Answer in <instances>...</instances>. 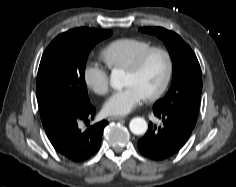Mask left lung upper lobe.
Instances as JSON below:
<instances>
[{"label":"left lung upper lobe","mask_w":236,"mask_h":187,"mask_svg":"<svg viewBox=\"0 0 236 187\" xmlns=\"http://www.w3.org/2000/svg\"><path fill=\"white\" fill-rule=\"evenodd\" d=\"M140 31L154 34L166 45L173 63L172 85L153 108L184 114L197 120L202 91L199 62L190 48L176 33L161 27H142Z\"/></svg>","instance_id":"obj_1"}]
</instances>
